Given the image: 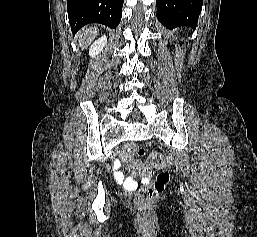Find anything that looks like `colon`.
Here are the masks:
<instances>
[{"label":"colon","instance_id":"5ec220e1","mask_svg":"<svg viewBox=\"0 0 257 237\" xmlns=\"http://www.w3.org/2000/svg\"><path fill=\"white\" fill-rule=\"evenodd\" d=\"M144 154V149L133 143L125 145L122 150L123 160L128 170L134 176L146 178V182L136 194V205L139 212L143 216H147L154 198L165 188L170 177L167 171L161 170L154 179H148L151 175L150 167L160 169L164 166L165 161L164 156L159 152H153L149 155L147 165L132 159L133 155L143 156Z\"/></svg>","mask_w":257,"mask_h":237}]
</instances>
